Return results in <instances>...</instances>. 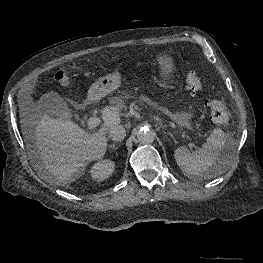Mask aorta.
Here are the masks:
<instances>
[{
  "instance_id": "1",
  "label": "aorta",
  "mask_w": 263,
  "mask_h": 263,
  "mask_svg": "<svg viewBox=\"0 0 263 263\" xmlns=\"http://www.w3.org/2000/svg\"><path fill=\"white\" fill-rule=\"evenodd\" d=\"M137 139L141 144H150L155 139V132L149 128H143L138 132Z\"/></svg>"
}]
</instances>
